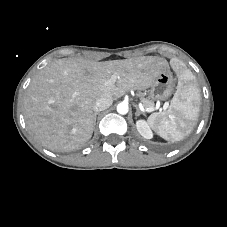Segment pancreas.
Here are the masks:
<instances>
[{
    "label": "pancreas",
    "mask_w": 227,
    "mask_h": 227,
    "mask_svg": "<svg viewBox=\"0 0 227 227\" xmlns=\"http://www.w3.org/2000/svg\"><path fill=\"white\" fill-rule=\"evenodd\" d=\"M142 103L146 109L154 107V102L150 99L142 98Z\"/></svg>",
    "instance_id": "obj_1"
}]
</instances>
